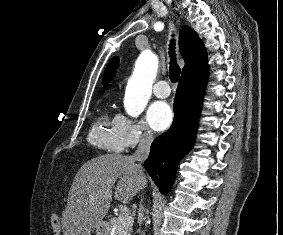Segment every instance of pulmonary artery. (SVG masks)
I'll return each mask as SVG.
<instances>
[{
    "instance_id": "pulmonary-artery-1",
    "label": "pulmonary artery",
    "mask_w": 283,
    "mask_h": 235,
    "mask_svg": "<svg viewBox=\"0 0 283 235\" xmlns=\"http://www.w3.org/2000/svg\"><path fill=\"white\" fill-rule=\"evenodd\" d=\"M171 93L167 81H158L153 87V94L158 98H167Z\"/></svg>"
}]
</instances>
